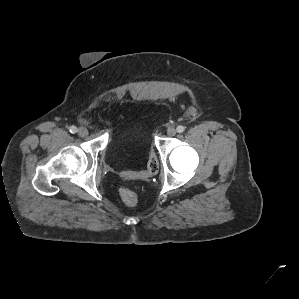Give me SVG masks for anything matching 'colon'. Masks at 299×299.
I'll use <instances>...</instances> for the list:
<instances>
[{
	"label": "colon",
	"mask_w": 299,
	"mask_h": 299,
	"mask_svg": "<svg viewBox=\"0 0 299 299\" xmlns=\"http://www.w3.org/2000/svg\"><path fill=\"white\" fill-rule=\"evenodd\" d=\"M159 161L155 154H152L148 160L147 169L144 171H129L125 173V176L130 179H146L158 172ZM121 198L127 206H135L138 201L137 194L129 189H121Z\"/></svg>",
	"instance_id": "colon-1"
}]
</instances>
